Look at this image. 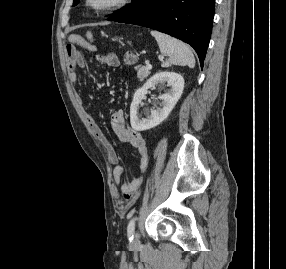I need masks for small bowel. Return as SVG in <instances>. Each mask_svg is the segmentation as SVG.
Wrapping results in <instances>:
<instances>
[{
  "instance_id": "small-bowel-1",
  "label": "small bowel",
  "mask_w": 286,
  "mask_h": 269,
  "mask_svg": "<svg viewBox=\"0 0 286 269\" xmlns=\"http://www.w3.org/2000/svg\"><path fill=\"white\" fill-rule=\"evenodd\" d=\"M88 48L91 51L95 50V48L91 45H88ZM65 52L70 81L72 83H77L79 81L78 69L84 68L86 66V60L81 54L78 53L76 47L73 44L67 45ZM98 61L111 67H117L120 64L118 57L112 52H107L102 56H99ZM86 121L91 130L99 138H101V140H103L106 146L108 161L110 164L114 165L113 178L115 186L117 188H121L123 192H129L131 195L137 193L143 181V173L148 167V150L145 138L141 135L140 132L135 131L128 126L122 111H116L112 114L111 127L113 131L123 143H126L135 148L139 155L140 175L131 178L125 183L121 184V176L125 171V167L118 164V154L110 145V143L104 138L98 124L90 113H86Z\"/></svg>"
}]
</instances>
